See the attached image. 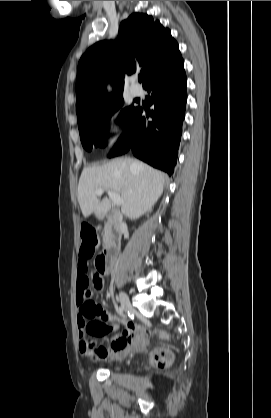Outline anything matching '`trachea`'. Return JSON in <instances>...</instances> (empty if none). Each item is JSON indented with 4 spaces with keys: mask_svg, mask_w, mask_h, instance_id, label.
Masks as SVG:
<instances>
[{
    "mask_svg": "<svg viewBox=\"0 0 271 418\" xmlns=\"http://www.w3.org/2000/svg\"><path fill=\"white\" fill-rule=\"evenodd\" d=\"M138 80H139V82H141L142 81V77H139Z\"/></svg>",
    "mask_w": 271,
    "mask_h": 418,
    "instance_id": "1",
    "label": "trachea"
}]
</instances>
